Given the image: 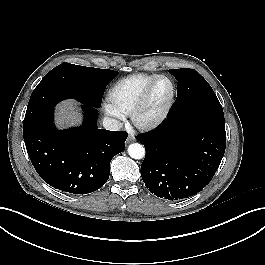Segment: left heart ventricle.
<instances>
[{"label":"left heart ventricle","mask_w":265,"mask_h":265,"mask_svg":"<svg viewBox=\"0 0 265 265\" xmlns=\"http://www.w3.org/2000/svg\"><path fill=\"white\" fill-rule=\"evenodd\" d=\"M171 94L170 82L166 79H160L155 85L148 105L145 110L147 117H153L159 114L165 107Z\"/></svg>","instance_id":"obj_1"}]
</instances>
